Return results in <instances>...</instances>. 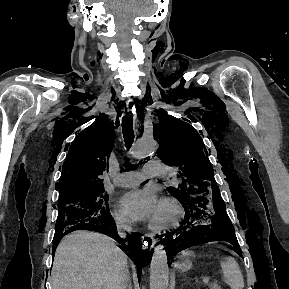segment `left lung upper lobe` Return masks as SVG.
Instances as JSON below:
<instances>
[{
	"label": "left lung upper lobe",
	"mask_w": 289,
	"mask_h": 289,
	"mask_svg": "<svg viewBox=\"0 0 289 289\" xmlns=\"http://www.w3.org/2000/svg\"><path fill=\"white\" fill-rule=\"evenodd\" d=\"M159 143L158 157L167 165L177 166L180 182L167 190L183 206L201 198L208 204L220 199L208 152L198 132L188 123L159 110V125L153 127Z\"/></svg>",
	"instance_id": "left-lung-upper-lobe-1"
}]
</instances>
